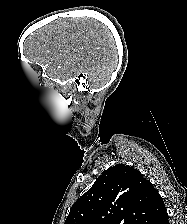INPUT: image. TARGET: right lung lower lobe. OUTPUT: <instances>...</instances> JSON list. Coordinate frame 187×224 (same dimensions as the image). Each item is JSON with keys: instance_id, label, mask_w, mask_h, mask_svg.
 I'll use <instances>...</instances> for the list:
<instances>
[{"instance_id": "right-lung-lower-lobe-1", "label": "right lung lower lobe", "mask_w": 187, "mask_h": 224, "mask_svg": "<svg viewBox=\"0 0 187 224\" xmlns=\"http://www.w3.org/2000/svg\"><path fill=\"white\" fill-rule=\"evenodd\" d=\"M155 224H169L168 214L163 215Z\"/></svg>"}]
</instances>
